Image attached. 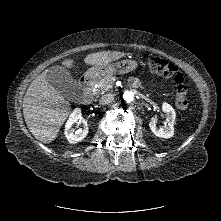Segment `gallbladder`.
Here are the masks:
<instances>
[{
	"label": "gallbladder",
	"mask_w": 221,
	"mask_h": 221,
	"mask_svg": "<svg viewBox=\"0 0 221 221\" xmlns=\"http://www.w3.org/2000/svg\"><path fill=\"white\" fill-rule=\"evenodd\" d=\"M48 83L63 97L73 99L79 92L76 80L64 67L56 65L47 70Z\"/></svg>",
	"instance_id": "obj_1"
}]
</instances>
